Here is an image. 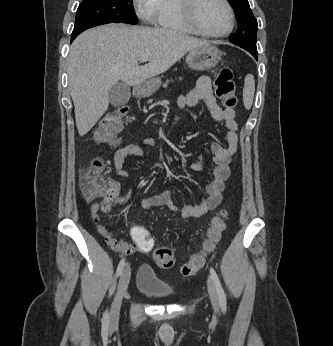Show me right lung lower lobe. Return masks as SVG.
<instances>
[{"label":"right lung lower lobe","mask_w":333,"mask_h":346,"mask_svg":"<svg viewBox=\"0 0 333 346\" xmlns=\"http://www.w3.org/2000/svg\"><path fill=\"white\" fill-rule=\"evenodd\" d=\"M77 37V36H76ZM75 36L71 37V42L76 38Z\"/></svg>","instance_id":"98d812e1"}]
</instances>
